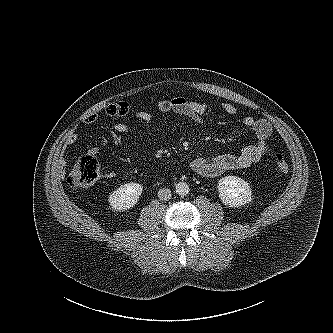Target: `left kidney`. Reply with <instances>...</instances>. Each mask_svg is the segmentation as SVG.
I'll use <instances>...</instances> for the list:
<instances>
[{"label":"left kidney","mask_w":333,"mask_h":333,"mask_svg":"<svg viewBox=\"0 0 333 333\" xmlns=\"http://www.w3.org/2000/svg\"><path fill=\"white\" fill-rule=\"evenodd\" d=\"M218 192L222 203L229 207H240L252 201L248 182L237 176L221 178L218 182Z\"/></svg>","instance_id":"1"}]
</instances>
